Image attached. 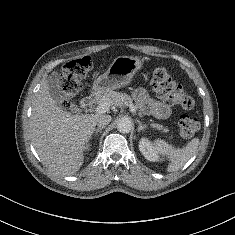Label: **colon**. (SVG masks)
Instances as JSON below:
<instances>
[{
	"instance_id": "colon-1",
	"label": "colon",
	"mask_w": 235,
	"mask_h": 235,
	"mask_svg": "<svg viewBox=\"0 0 235 235\" xmlns=\"http://www.w3.org/2000/svg\"><path fill=\"white\" fill-rule=\"evenodd\" d=\"M92 68L89 57H81L66 63L60 75V103L63 108H69L74 97L82 89V80ZM151 85L158 96L165 102L191 109L194 100L185 89L178 84L164 68H154L151 71ZM180 132L185 137H192L199 129V121L192 116L183 115L179 119Z\"/></svg>"
}]
</instances>
